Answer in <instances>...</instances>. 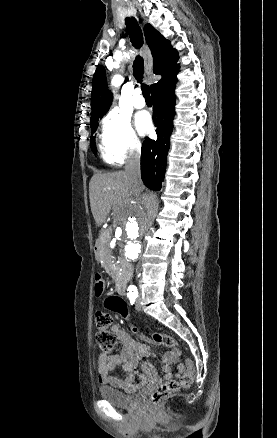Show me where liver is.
Masks as SVG:
<instances>
[{
	"label": "liver",
	"instance_id": "6515ba94",
	"mask_svg": "<svg viewBox=\"0 0 277 438\" xmlns=\"http://www.w3.org/2000/svg\"><path fill=\"white\" fill-rule=\"evenodd\" d=\"M89 188L91 212L97 226L104 224L112 206L117 210V205H138L137 200H133L135 194L126 172L95 174ZM140 190L141 188L137 192Z\"/></svg>",
	"mask_w": 277,
	"mask_h": 438
}]
</instances>
